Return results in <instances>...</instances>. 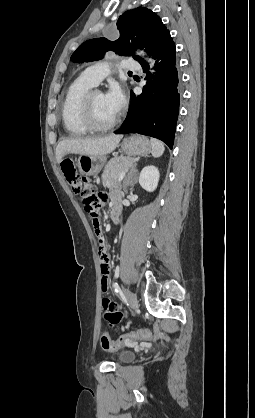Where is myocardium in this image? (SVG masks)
Masks as SVG:
<instances>
[{
    "instance_id": "myocardium-1",
    "label": "myocardium",
    "mask_w": 255,
    "mask_h": 418,
    "mask_svg": "<svg viewBox=\"0 0 255 418\" xmlns=\"http://www.w3.org/2000/svg\"><path fill=\"white\" fill-rule=\"evenodd\" d=\"M96 93H102V91L92 88L85 94L81 103V120L90 131L105 132L114 128L119 119L115 117L110 123L104 125L96 122L93 114V97Z\"/></svg>"
}]
</instances>
